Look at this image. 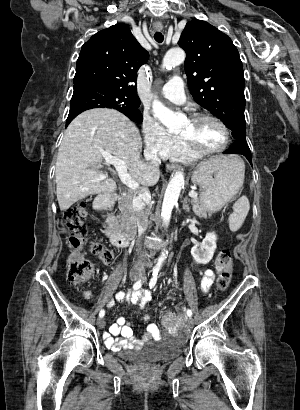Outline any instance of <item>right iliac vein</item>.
Instances as JSON below:
<instances>
[{"label": "right iliac vein", "instance_id": "obj_1", "mask_svg": "<svg viewBox=\"0 0 300 410\" xmlns=\"http://www.w3.org/2000/svg\"><path fill=\"white\" fill-rule=\"evenodd\" d=\"M139 278V275L137 272H133L130 274V279L132 281H136ZM97 326L99 329H103L105 327V321L102 318H99L97 320Z\"/></svg>", "mask_w": 300, "mask_h": 410}]
</instances>
